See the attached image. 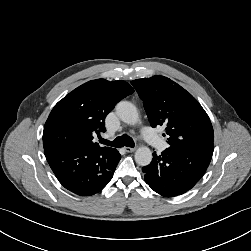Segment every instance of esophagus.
Returning <instances> with one entry per match:
<instances>
[{"label":"esophagus","instance_id":"1","mask_svg":"<svg viewBox=\"0 0 251 251\" xmlns=\"http://www.w3.org/2000/svg\"><path fill=\"white\" fill-rule=\"evenodd\" d=\"M136 150V148L134 147H125V151L128 153L134 152Z\"/></svg>","mask_w":251,"mask_h":251}]
</instances>
